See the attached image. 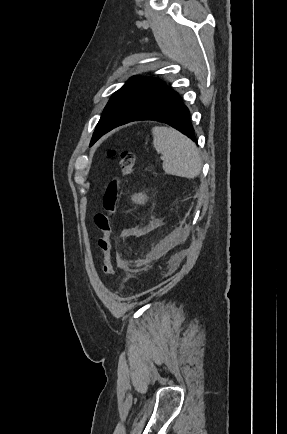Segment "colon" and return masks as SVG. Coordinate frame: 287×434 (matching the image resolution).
Here are the masks:
<instances>
[{
	"mask_svg": "<svg viewBox=\"0 0 287 434\" xmlns=\"http://www.w3.org/2000/svg\"><path fill=\"white\" fill-rule=\"evenodd\" d=\"M110 155H114L111 151ZM120 175L114 177L108 184L103 195V211L94 217V222L101 235L98 245L103 253L102 272L105 276L113 274L112 259V218L118 211L122 195L121 185L125 177L131 175L135 168V156L131 151H122L119 155Z\"/></svg>",
	"mask_w": 287,
	"mask_h": 434,
	"instance_id": "1",
	"label": "colon"
}]
</instances>
